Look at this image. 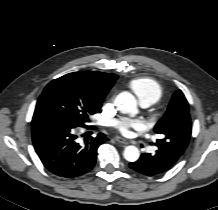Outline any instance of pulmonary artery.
<instances>
[{"label": "pulmonary artery", "mask_w": 218, "mask_h": 210, "mask_svg": "<svg viewBox=\"0 0 218 210\" xmlns=\"http://www.w3.org/2000/svg\"><path fill=\"white\" fill-rule=\"evenodd\" d=\"M142 106H143V107H147V106H149V105H147V104L143 103V104H142Z\"/></svg>", "instance_id": "pulmonary-artery-1"}]
</instances>
